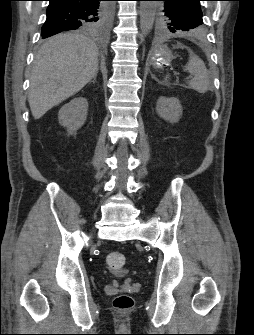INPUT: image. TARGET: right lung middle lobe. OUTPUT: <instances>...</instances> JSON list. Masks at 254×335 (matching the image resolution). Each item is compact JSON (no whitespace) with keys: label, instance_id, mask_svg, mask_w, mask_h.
Wrapping results in <instances>:
<instances>
[{"label":"right lung middle lobe","instance_id":"obj_1","mask_svg":"<svg viewBox=\"0 0 254 335\" xmlns=\"http://www.w3.org/2000/svg\"><path fill=\"white\" fill-rule=\"evenodd\" d=\"M109 11H110L109 7H107V6L101 7L100 17H99L98 21L96 22V25L94 26V28L91 31L99 30L106 25V23L108 21V18H109Z\"/></svg>","mask_w":254,"mask_h":335}]
</instances>
